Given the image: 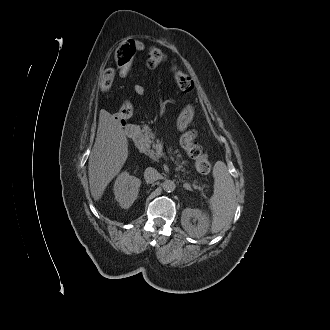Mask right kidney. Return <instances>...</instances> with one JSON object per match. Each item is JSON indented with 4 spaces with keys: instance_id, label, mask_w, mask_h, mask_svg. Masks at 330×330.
<instances>
[{
    "instance_id": "ca27d5eb",
    "label": "right kidney",
    "mask_w": 330,
    "mask_h": 330,
    "mask_svg": "<svg viewBox=\"0 0 330 330\" xmlns=\"http://www.w3.org/2000/svg\"><path fill=\"white\" fill-rule=\"evenodd\" d=\"M141 180L129 175L127 171L120 173L114 183V195L122 208H129L137 199Z\"/></svg>"
}]
</instances>
